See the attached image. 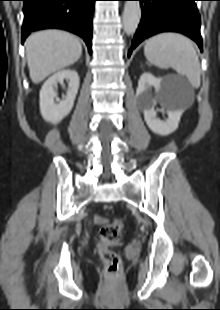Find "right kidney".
Segmentation results:
<instances>
[{
    "label": "right kidney",
    "mask_w": 220,
    "mask_h": 310,
    "mask_svg": "<svg viewBox=\"0 0 220 310\" xmlns=\"http://www.w3.org/2000/svg\"><path fill=\"white\" fill-rule=\"evenodd\" d=\"M64 79L69 81L68 89L59 100L55 87ZM78 88L79 76L74 69H63L49 77L40 90V112L44 120L57 124L66 117L73 108Z\"/></svg>",
    "instance_id": "right-kidney-1"
}]
</instances>
